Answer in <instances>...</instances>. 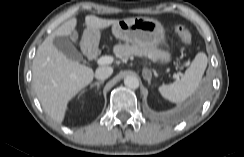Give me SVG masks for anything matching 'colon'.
Returning a JSON list of instances; mask_svg holds the SVG:
<instances>
[{"mask_svg": "<svg viewBox=\"0 0 244 157\" xmlns=\"http://www.w3.org/2000/svg\"><path fill=\"white\" fill-rule=\"evenodd\" d=\"M174 30L185 43H188V44L191 43L192 35L186 27H184L182 25H175Z\"/></svg>", "mask_w": 244, "mask_h": 157, "instance_id": "5ec220e1", "label": "colon"}]
</instances>
